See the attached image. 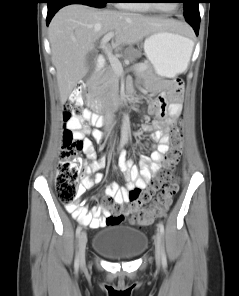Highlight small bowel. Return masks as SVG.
Instances as JSON below:
<instances>
[{"instance_id": "obj_1", "label": "small bowel", "mask_w": 239, "mask_h": 296, "mask_svg": "<svg viewBox=\"0 0 239 296\" xmlns=\"http://www.w3.org/2000/svg\"><path fill=\"white\" fill-rule=\"evenodd\" d=\"M181 94L182 83L177 80L173 83L172 95L168 105L165 94H161L149 107V114L155 115L157 118L152 123L143 124L141 129L143 132L151 133L152 140L158 142L157 148L150 156H142L139 164L135 165L132 161L126 160L125 152L120 154L119 169L125 176L127 186L121 188L117 183L113 182L106 187V195L117 204L132 202L134 200V193L149 186L154 175L164 169L165 155L170 149L169 133L181 113ZM84 118L91 120L95 124L98 116L86 110ZM69 126L76 136L83 139L86 156L94 158L95 152L92 141L89 138H85V136L91 134L95 140L99 141L102 139V133L97 129L81 128L77 121H71ZM101 166L102 164L97 161L86 166V175L82 178L81 191L89 190L103 180V175L99 172ZM67 210L75 217V214L70 209L67 208ZM78 214L85 216V219L75 217L82 224L97 229L106 226L105 220L109 212L106 209L101 211L96 206H93L89 213L80 209ZM125 216H128V214L126 213Z\"/></svg>"}]
</instances>
